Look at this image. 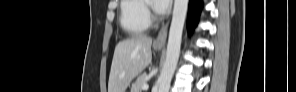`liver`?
<instances>
[{
  "label": "liver",
  "instance_id": "obj_1",
  "mask_svg": "<svg viewBox=\"0 0 296 92\" xmlns=\"http://www.w3.org/2000/svg\"><path fill=\"white\" fill-rule=\"evenodd\" d=\"M152 39L135 35L120 41L114 51L108 92H125L131 81L151 62Z\"/></svg>",
  "mask_w": 296,
  "mask_h": 92
}]
</instances>
